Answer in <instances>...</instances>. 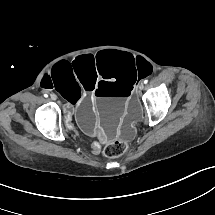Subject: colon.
<instances>
[{"instance_id":"obj_1","label":"colon","mask_w":215,"mask_h":215,"mask_svg":"<svg viewBox=\"0 0 215 215\" xmlns=\"http://www.w3.org/2000/svg\"><path fill=\"white\" fill-rule=\"evenodd\" d=\"M126 150V145L122 142H115L107 145L104 149V154L108 158H114L122 155Z\"/></svg>"}]
</instances>
